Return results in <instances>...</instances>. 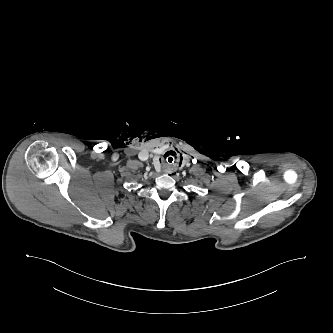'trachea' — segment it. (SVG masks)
<instances>
[{
	"mask_svg": "<svg viewBox=\"0 0 333 333\" xmlns=\"http://www.w3.org/2000/svg\"><path fill=\"white\" fill-rule=\"evenodd\" d=\"M163 162H164L167 166H172V165L176 162V157H175L172 153H167V154L163 157Z\"/></svg>",
	"mask_w": 333,
	"mask_h": 333,
	"instance_id": "1",
	"label": "trachea"
}]
</instances>
